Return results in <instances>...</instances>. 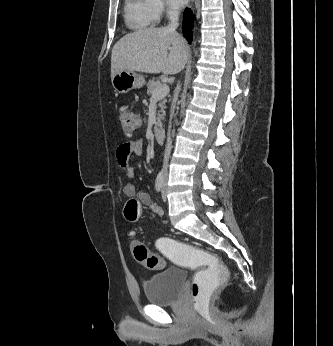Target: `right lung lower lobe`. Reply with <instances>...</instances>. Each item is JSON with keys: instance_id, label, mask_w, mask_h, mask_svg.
<instances>
[{"instance_id": "right-lung-lower-lobe-1", "label": "right lung lower lobe", "mask_w": 333, "mask_h": 346, "mask_svg": "<svg viewBox=\"0 0 333 346\" xmlns=\"http://www.w3.org/2000/svg\"><path fill=\"white\" fill-rule=\"evenodd\" d=\"M193 13L190 9L186 8L184 11V17H183V25H182V31L183 36L187 39L189 43L192 42L193 37Z\"/></svg>"}]
</instances>
